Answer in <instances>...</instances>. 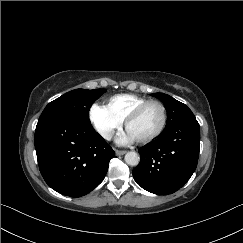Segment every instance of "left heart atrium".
<instances>
[{"label": "left heart atrium", "instance_id": "left-heart-atrium-1", "mask_svg": "<svg viewBox=\"0 0 243 243\" xmlns=\"http://www.w3.org/2000/svg\"><path fill=\"white\" fill-rule=\"evenodd\" d=\"M134 140L135 139L133 138V136L127 130L126 132L118 135V137L116 138V143L119 145H126L132 143Z\"/></svg>", "mask_w": 243, "mask_h": 243}]
</instances>
